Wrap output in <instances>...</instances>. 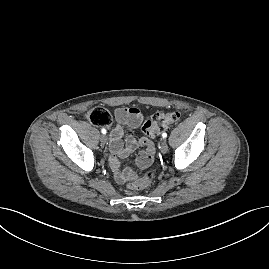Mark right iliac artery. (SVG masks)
<instances>
[{"label":"right iliac artery","instance_id":"82829eb1","mask_svg":"<svg viewBox=\"0 0 269 269\" xmlns=\"http://www.w3.org/2000/svg\"><path fill=\"white\" fill-rule=\"evenodd\" d=\"M101 132H102L103 134H106V129L102 128V129H101Z\"/></svg>","mask_w":269,"mask_h":269}]
</instances>
